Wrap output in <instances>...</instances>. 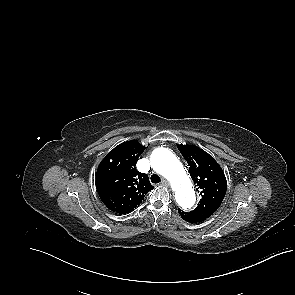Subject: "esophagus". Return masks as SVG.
Masks as SVG:
<instances>
[{"label":"esophagus","mask_w":295,"mask_h":295,"mask_svg":"<svg viewBox=\"0 0 295 295\" xmlns=\"http://www.w3.org/2000/svg\"><path fill=\"white\" fill-rule=\"evenodd\" d=\"M162 185L168 187L169 186V182L167 180H163L162 181Z\"/></svg>","instance_id":"1"}]
</instances>
